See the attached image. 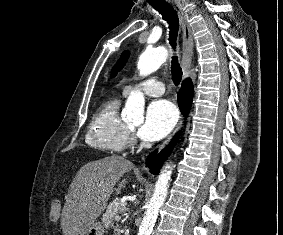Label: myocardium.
<instances>
[{
  "label": "myocardium",
  "instance_id": "1",
  "mask_svg": "<svg viewBox=\"0 0 283 235\" xmlns=\"http://www.w3.org/2000/svg\"><path fill=\"white\" fill-rule=\"evenodd\" d=\"M133 144V130L130 127H126V146Z\"/></svg>",
  "mask_w": 283,
  "mask_h": 235
}]
</instances>
